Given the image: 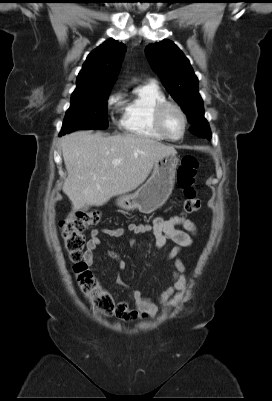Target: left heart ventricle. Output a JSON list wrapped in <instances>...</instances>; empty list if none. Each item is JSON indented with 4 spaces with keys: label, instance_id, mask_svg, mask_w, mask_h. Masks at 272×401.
I'll return each instance as SVG.
<instances>
[{
    "label": "left heart ventricle",
    "instance_id": "b2bd125f",
    "mask_svg": "<svg viewBox=\"0 0 272 401\" xmlns=\"http://www.w3.org/2000/svg\"><path fill=\"white\" fill-rule=\"evenodd\" d=\"M164 124L167 132L172 137H179L183 129V121L180 114L174 110L169 109L164 117Z\"/></svg>",
    "mask_w": 272,
    "mask_h": 401
}]
</instances>
